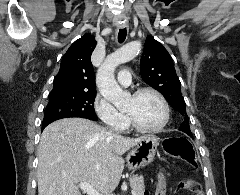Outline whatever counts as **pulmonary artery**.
<instances>
[{"instance_id": "obj_1", "label": "pulmonary artery", "mask_w": 240, "mask_h": 195, "mask_svg": "<svg viewBox=\"0 0 240 195\" xmlns=\"http://www.w3.org/2000/svg\"><path fill=\"white\" fill-rule=\"evenodd\" d=\"M118 81L123 86H129L132 82L129 71H121L120 76H118Z\"/></svg>"}]
</instances>
